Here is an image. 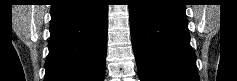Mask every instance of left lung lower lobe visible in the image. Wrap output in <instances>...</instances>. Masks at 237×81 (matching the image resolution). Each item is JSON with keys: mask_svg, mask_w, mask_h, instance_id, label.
<instances>
[{"mask_svg": "<svg viewBox=\"0 0 237 81\" xmlns=\"http://www.w3.org/2000/svg\"><path fill=\"white\" fill-rule=\"evenodd\" d=\"M182 0H133L129 5L140 81H199Z\"/></svg>", "mask_w": 237, "mask_h": 81, "instance_id": "0a47b994", "label": "left lung lower lobe"}]
</instances>
